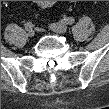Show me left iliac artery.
I'll return each instance as SVG.
<instances>
[{"instance_id":"1","label":"left iliac artery","mask_w":109,"mask_h":109,"mask_svg":"<svg viewBox=\"0 0 109 109\" xmlns=\"http://www.w3.org/2000/svg\"><path fill=\"white\" fill-rule=\"evenodd\" d=\"M74 18L72 17H66L64 19L61 20V22L67 24V25H72L74 23Z\"/></svg>"}]
</instances>
